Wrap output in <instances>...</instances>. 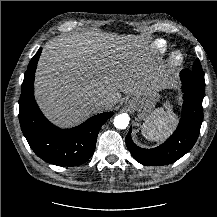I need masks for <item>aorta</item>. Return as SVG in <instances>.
<instances>
[{
  "label": "aorta",
  "instance_id": "1",
  "mask_svg": "<svg viewBox=\"0 0 217 217\" xmlns=\"http://www.w3.org/2000/svg\"><path fill=\"white\" fill-rule=\"evenodd\" d=\"M129 124V117L127 114H120L114 118V126L118 129H126Z\"/></svg>",
  "mask_w": 217,
  "mask_h": 217
}]
</instances>
